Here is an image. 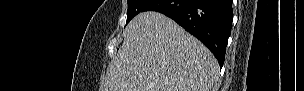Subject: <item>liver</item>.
<instances>
[{
    "label": "liver",
    "instance_id": "1",
    "mask_svg": "<svg viewBox=\"0 0 304 91\" xmlns=\"http://www.w3.org/2000/svg\"><path fill=\"white\" fill-rule=\"evenodd\" d=\"M218 75L206 46L167 16L149 11L127 25L104 91H211Z\"/></svg>",
    "mask_w": 304,
    "mask_h": 91
}]
</instances>
